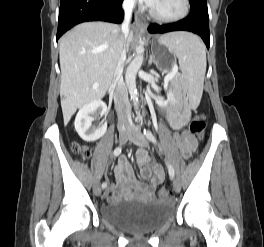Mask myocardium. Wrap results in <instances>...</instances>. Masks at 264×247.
<instances>
[{
	"label": "myocardium",
	"instance_id": "f54148a6",
	"mask_svg": "<svg viewBox=\"0 0 264 247\" xmlns=\"http://www.w3.org/2000/svg\"><path fill=\"white\" fill-rule=\"evenodd\" d=\"M181 3H182V10L176 15H172V16L159 15L154 10L153 7L150 9L149 13H150L151 17L158 22H162V23L178 22V21L185 19L189 15L190 9H191L190 0H181Z\"/></svg>",
	"mask_w": 264,
	"mask_h": 247
}]
</instances>
